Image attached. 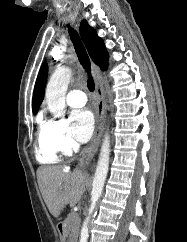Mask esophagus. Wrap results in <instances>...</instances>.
Here are the masks:
<instances>
[{
	"label": "esophagus",
	"mask_w": 187,
	"mask_h": 242,
	"mask_svg": "<svg viewBox=\"0 0 187 242\" xmlns=\"http://www.w3.org/2000/svg\"><path fill=\"white\" fill-rule=\"evenodd\" d=\"M93 72L96 79V95L98 97L96 126L93 138L90 144L85 148L82 158L80 160V166L82 168H87L89 166L98 150L103 132L104 118L106 114V99L103 85L101 83V72L99 68L95 65L93 66Z\"/></svg>",
	"instance_id": "34e87169"
}]
</instances>
